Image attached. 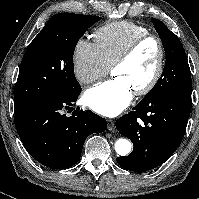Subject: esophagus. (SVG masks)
Masks as SVG:
<instances>
[{"label": "esophagus", "instance_id": "34e87169", "mask_svg": "<svg viewBox=\"0 0 199 199\" xmlns=\"http://www.w3.org/2000/svg\"><path fill=\"white\" fill-rule=\"evenodd\" d=\"M108 129L110 131L115 130V121L112 119H107Z\"/></svg>", "mask_w": 199, "mask_h": 199}]
</instances>
